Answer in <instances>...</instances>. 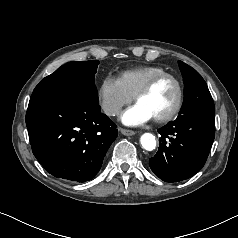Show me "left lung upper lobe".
I'll return each instance as SVG.
<instances>
[{
	"instance_id": "left-lung-upper-lobe-1",
	"label": "left lung upper lobe",
	"mask_w": 238,
	"mask_h": 238,
	"mask_svg": "<svg viewBox=\"0 0 238 238\" xmlns=\"http://www.w3.org/2000/svg\"><path fill=\"white\" fill-rule=\"evenodd\" d=\"M178 65L184 81V101L178 118L215 115L213 99L202 76L182 61Z\"/></svg>"
}]
</instances>
